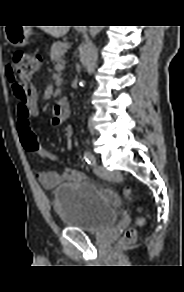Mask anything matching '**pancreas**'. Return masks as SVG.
<instances>
[{
  "instance_id": "cf45deb5",
  "label": "pancreas",
  "mask_w": 184,
  "mask_h": 292,
  "mask_svg": "<svg viewBox=\"0 0 184 292\" xmlns=\"http://www.w3.org/2000/svg\"><path fill=\"white\" fill-rule=\"evenodd\" d=\"M67 48H68L67 42H57L53 44L50 52L51 60L54 62L60 61L63 55L65 54Z\"/></svg>"
}]
</instances>
